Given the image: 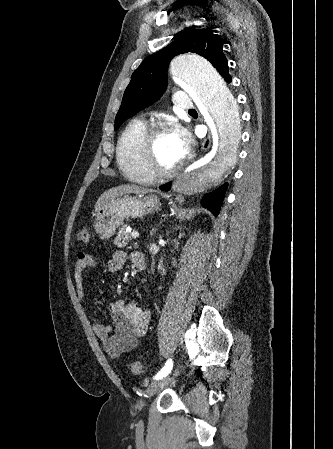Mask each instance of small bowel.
I'll return each instance as SVG.
<instances>
[{
  "mask_svg": "<svg viewBox=\"0 0 333 449\" xmlns=\"http://www.w3.org/2000/svg\"><path fill=\"white\" fill-rule=\"evenodd\" d=\"M127 255L123 251H116L108 262L110 272L120 271L126 262ZM132 259V255H131ZM95 266L94 258L85 252H79L74 266L73 276L80 299L85 296L84 273ZM115 326L104 323L93 324V331L102 341L104 350L113 358L133 350L140 339L146 334L150 312L143 307L124 300H115L110 304Z\"/></svg>",
  "mask_w": 333,
  "mask_h": 449,
  "instance_id": "obj_1",
  "label": "small bowel"
}]
</instances>
